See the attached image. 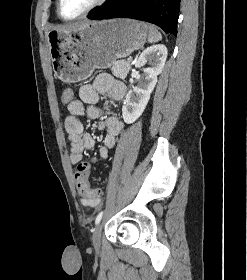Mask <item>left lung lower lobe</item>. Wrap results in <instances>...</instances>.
<instances>
[{"instance_id": "1", "label": "left lung lower lobe", "mask_w": 247, "mask_h": 280, "mask_svg": "<svg viewBox=\"0 0 247 280\" xmlns=\"http://www.w3.org/2000/svg\"><path fill=\"white\" fill-rule=\"evenodd\" d=\"M181 0H108L92 12L93 20L132 18L156 24L166 33L177 35Z\"/></svg>"}]
</instances>
